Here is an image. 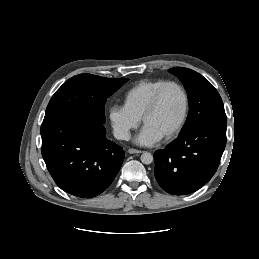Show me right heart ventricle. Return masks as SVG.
Here are the masks:
<instances>
[{
	"mask_svg": "<svg viewBox=\"0 0 259 259\" xmlns=\"http://www.w3.org/2000/svg\"><path fill=\"white\" fill-rule=\"evenodd\" d=\"M165 79L141 80L131 86L123 95V106L137 118H142L155 92L164 84Z\"/></svg>",
	"mask_w": 259,
	"mask_h": 259,
	"instance_id": "e07e8e85",
	"label": "right heart ventricle"
}]
</instances>
